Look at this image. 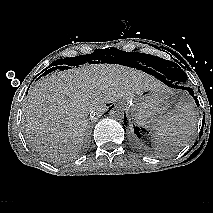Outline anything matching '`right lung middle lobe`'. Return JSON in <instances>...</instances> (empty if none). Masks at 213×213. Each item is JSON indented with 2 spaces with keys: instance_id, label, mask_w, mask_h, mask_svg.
Here are the masks:
<instances>
[{
  "instance_id": "1",
  "label": "right lung middle lobe",
  "mask_w": 213,
  "mask_h": 213,
  "mask_svg": "<svg viewBox=\"0 0 213 213\" xmlns=\"http://www.w3.org/2000/svg\"><path fill=\"white\" fill-rule=\"evenodd\" d=\"M119 52H120V50H118L116 48L105 49V50L97 49L90 55H82V56H77V57H72V58L56 60L55 62L52 63V66H59V65H63V64L71 65V66L79 65V64H82L85 61H87L86 60L87 57H91L90 59H95V58L97 59L99 57L115 58L117 56L116 53H119Z\"/></svg>"
}]
</instances>
